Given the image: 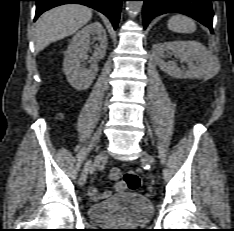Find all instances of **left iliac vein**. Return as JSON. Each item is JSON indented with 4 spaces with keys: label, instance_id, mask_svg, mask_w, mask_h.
Wrapping results in <instances>:
<instances>
[{
    "label": "left iliac vein",
    "instance_id": "1",
    "mask_svg": "<svg viewBox=\"0 0 234 231\" xmlns=\"http://www.w3.org/2000/svg\"><path fill=\"white\" fill-rule=\"evenodd\" d=\"M141 158L143 161L147 162L150 165H154V159L151 155H149L147 152L143 151L141 154Z\"/></svg>",
    "mask_w": 234,
    "mask_h": 231
}]
</instances>
